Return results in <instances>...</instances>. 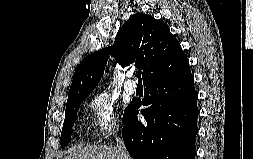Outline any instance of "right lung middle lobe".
Listing matches in <instances>:
<instances>
[{"mask_svg": "<svg viewBox=\"0 0 253 159\" xmlns=\"http://www.w3.org/2000/svg\"><path fill=\"white\" fill-rule=\"evenodd\" d=\"M85 98H86V96L72 99V100L68 101L66 104L65 120H64V124H63V128H62L61 138H60L61 147L66 146L67 143L70 141L72 127H73L74 122L77 118V111L79 109V105L81 104V102ZM126 109H125V111H126Z\"/></svg>", "mask_w": 253, "mask_h": 159, "instance_id": "right-lung-middle-lobe-1", "label": "right lung middle lobe"}]
</instances>
